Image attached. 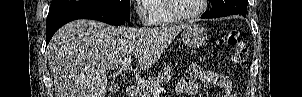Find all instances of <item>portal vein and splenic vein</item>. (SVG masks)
Returning a JSON list of instances; mask_svg holds the SVG:
<instances>
[{
    "label": "portal vein and splenic vein",
    "mask_w": 302,
    "mask_h": 97,
    "mask_svg": "<svg viewBox=\"0 0 302 97\" xmlns=\"http://www.w3.org/2000/svg\"><path fill=\"white\" fill-rule=\"evenodd\" d=\"M131 62H132V59H131V58H128V59L124 60V61L121 63L122 69H127V67L130 65ZM161 91H162V88L156 87L154 93H155V94H158V93H160Z\"/></svg>",
    "instance_id": "1"
}]
</instances>
